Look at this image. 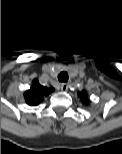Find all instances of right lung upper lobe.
Returning a JSON list of instances; mask_svg holds the SVG:
<instances>
[{
	"label": "right lung upper lobe",
	"instance_id": "1",
	"mask_svg": "<svg viewBox=\"0 0 122 154\" xmlns=\"http://www.w3.org/2000/svg\"><path fill=\"white\" fill-rule=\"evenodd\" d=\"M53 91L54 88L41 86L35 79L32 83L31 88L25 93L26 102L31 106L38 105L44 96H48Z\"/></svg>",
	"mask_w": 122,
	"mask_h": 154
}]
</instances>
